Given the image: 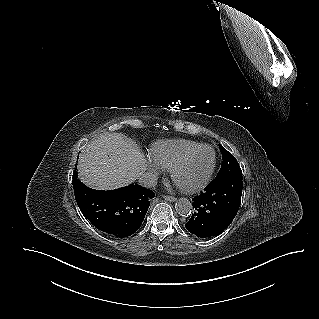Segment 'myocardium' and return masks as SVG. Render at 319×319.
<instances>
[{
    "label": "myocardium",
    "mask_w": 319,
    "mask_h": 319,
    "mask_svg": "<svg viewBox=\"0 0 319 319\" xmlns=\"http://www.w3.org/2000/svg\"><path fill=\"white\" fill-rule=\"evenodd\" d=\"M202 148H208L212 151L213 154V160L211 163V166L209 168V170L207 171L206 175L204 176V178L197 184L190 186V187H184L181 186L178 181H177V174L178 172L181 170V168L188 162V160L200 149ZM216 163H217V154L215 149L208 145V144H199L198 146L192 148L191 150L187 151L185 154H183L178 161L172 166V168L170 169V175H171V179L174 182V184L184 193H188V194H192V193H196L199 192L200 190H202L203 188H205L208 183L210 182L213 173L215 171V167H216Z\"/></svg>",
    "instance_id": "myocardium-1"
}]
</instances>
